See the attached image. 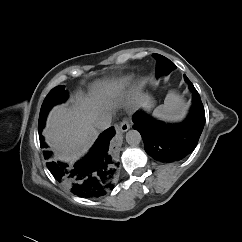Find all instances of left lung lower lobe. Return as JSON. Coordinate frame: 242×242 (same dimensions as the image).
<instances>
[{"mask_svg": "<svg viewBox=\"0 0 242 242\" xmlns=\"http://www.w3.org/2000/svg\"><path fill=\"white\" fill-rule=\"evenodd\" d=\"M193 92V106L189 116L180 124H166L136 113L133 128L140 132L145 151L155 160L163 163L177 162L191 153L199 140L205 124V111L199 93L184 76Z\"/></svg>", "mask_w": 242, "mask_h": 242, "instance_id": "0a47b994", "label": "left lung lower lobe"}]
</instances>
